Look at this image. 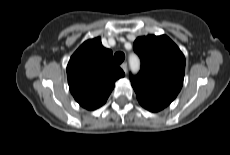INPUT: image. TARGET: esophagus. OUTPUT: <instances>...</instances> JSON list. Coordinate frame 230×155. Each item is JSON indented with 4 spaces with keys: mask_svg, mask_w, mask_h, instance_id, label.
I'll use <instances>...</instances> for the list:
<instances>
[{
    "mask_svg": "<svg viewBox=\"0 0 230 155\" xmlns=\"http://www.w3.org/2000/svg\"><path fill=\"white\" fill-rule=\"evenodd\" d=\"M121 68L123 69V71L126 73L127 72V63L124 62L121 64Z\"/></svg>",
    "mask_w": 230,
    "mask_h": 155,
    "instance_id": "34e87169",
    "label": "esophagus"
}]
</instances>
